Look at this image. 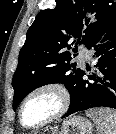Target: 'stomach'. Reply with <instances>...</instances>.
Instances as JSON below:
<instances>
[{"mask_svg": "<svg viewBox=\"0 0 116 134\" xmlns=\"http://www.w3.org/2000/svg\"><path fill=\"white\" fill-rule=\"evenodd\" d=\"M49 134H92V124L87 118L73 116L65 120L60 128H51Z\"/></svg>", "mask_w": 116, "mask_h": 134, "instance_id": "1", "label": "stomach"}]
</instances>
